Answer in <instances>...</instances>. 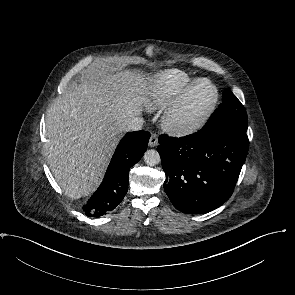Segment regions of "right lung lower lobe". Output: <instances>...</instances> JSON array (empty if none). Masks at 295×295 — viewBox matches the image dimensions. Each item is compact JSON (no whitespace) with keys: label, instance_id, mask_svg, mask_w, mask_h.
Returning a JSON list of instances; mask_svg holds the SVG:
<instances>
[{"label":"right lung lower lobe","instance_id":"right-lung-lower-lobe-1","mask_svg":"<svg viewBox=\"0 0 295 295\" xmlns=\"http://www.w3.org/2000/svg\"><path fill=\"white\" fill-rule=\"evenodd\" d=\"M149 138L147 131L130 132L122 138L100 187L83 206L87 216L100 217L120 204L128 190L129 170L142 158Z\"/></svg>","mask_w":295,"mask_h":295}]
</instances>
